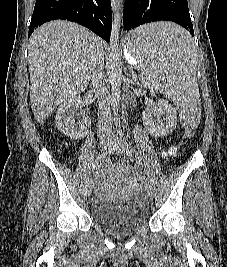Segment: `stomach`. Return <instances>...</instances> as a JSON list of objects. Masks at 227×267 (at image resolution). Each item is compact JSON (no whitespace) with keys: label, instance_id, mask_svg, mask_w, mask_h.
<instances>
[{"label":"stomach","instance_id":"obj_1","mask_svg":"<svg viewBox=\"0 0 227 267\" xmlns=\"http://www.w3.org/2000/svg\"><path fill=\"white\" fill-rule=\"evenodd\" d=\"M126 38H128V36ZM125 57L134 68L140 70L139 63H135V59H132V55H128L127 47H125Z\"/></svg>","mask_w":227,"mask_h":267}]
</instances>
